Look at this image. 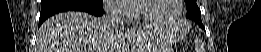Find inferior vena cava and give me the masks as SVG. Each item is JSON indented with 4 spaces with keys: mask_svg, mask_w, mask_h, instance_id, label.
<instances>
[{
    "mask_svg": "<svg viewBox=\"0 0 261 52\" xmlns=\"http://www.w3.org/2000/svg\"><path fill=\"white\" fill-rule=\"evenodd\" d=\"M107 15L105 17L106 23L111 27H118L122 25L121 20L118 18L117 14L113 11L111 7H107Z\"/></svg>",
    "mask_w": 261,
    "mask_h": 52,
    "instance_id": "1",
    "label": "inferior vena cava"
}]
</instances>
